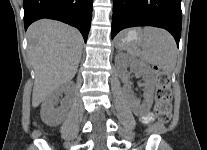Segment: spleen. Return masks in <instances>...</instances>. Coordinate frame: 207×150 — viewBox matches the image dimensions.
I'll list each match as a JSON object with an SVG mask.
<instances>
[{
  "instance_id": "3e777b00",
  "label": "spleen",
  "mask_w": 207,
  "mask_h": 150,
  "mask_svg": "<svg viewBox=\"0 0 207 150\" xmlns=\"http://www.w3.org/2000/svg\"><path fill=\"white\" fill-rule=\"evenodd\" d=\"M131 57L155 65L166 73H171L177 60V46L173 36L162 28L146 27L140 31L138 44L127 48Z\"/></svg>"
}]
</instances>
